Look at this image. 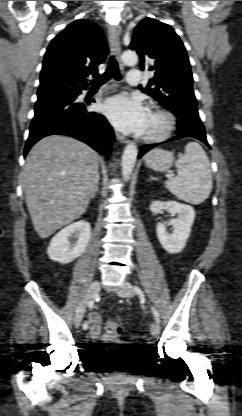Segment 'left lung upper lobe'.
<instances>
[{
	"mask_svg": "<svg viewBox=\"0 0 242 416\" xmlns=\"http://www.w3.org/2000/svg\"><path fill=\"white\" fill-rule=\"evenodd\" d=\"M140 56V68L155 72L143 92L173 112L178 123H194L205 132L198 115L186 49L173 28L152 18L137 25L130 44ZM152 87V88H151Z\"/></svg>",
	"mask_w": 242,
	"mask_h": 416,
	"instance_id": "left-lung-upper-lobe-1",
	"label": "left lung upper lobe"
}]
</instances>
